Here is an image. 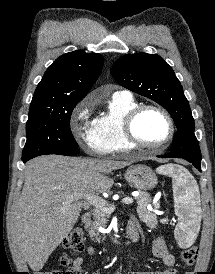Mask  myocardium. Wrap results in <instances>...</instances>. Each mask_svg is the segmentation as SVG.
I'll return each mask as SVG.
<instances>
[{
  "mask_svg": "<svg viewBox=\"0 0 215 274\" xmlns=\"http://www.w3.org/2000/svg\"><path fill=\"white\" fill-rule=\"evenodd\" d=\"M147 110H154L162 114L169 126V132L167 137L161 142L156 144H148L143 142L142 140L139 139L135 131V123L138 117L144 111H147ZM122 128H123L125 139L130 145H132L133 147L144 148V149L162 148L166 146L173 139L175 134V124L171 115L164 108L158 105H153V104H139L135 106L134 108H132L131 110H129L123 118Z\"/></svg>",
  "mask_w": 215,
  "mask_h": 274,
  "instance_id": "myocardium-1",
  "label": "myocardium"
}]
</instances>
